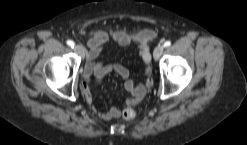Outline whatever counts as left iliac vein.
<instances>
[{
	"label": "left iliac vein",
	"mask_w": 247,
	"mask_h": 145,
	"mask_svg": "<svg viewBox=\"0 0 247 145\" xmlns=\"http://www.w3.org/2000/svg\"><path fill=\"white\" fill-rule=\"evenodd\" d=\"M163 51H164V46L161 44L157 45L153 53L154 59L156 60L159 59Z\"/></svg>",
	"instance_id": "obj_1"
}]
</instances>
